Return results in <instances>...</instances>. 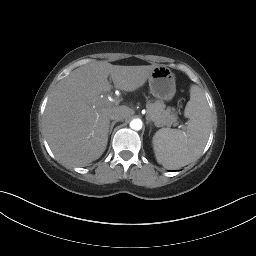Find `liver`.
Here are the masks:
<instances>
[{
    "mask_svg": "<svg viewBox=\"0 0 256 256\" xmlns=\"http://www.w3.org/2000/svg\"><path fill=\"white\" fill-rule=\"evenodd\" d=\"M157 64L112 65L107 61L86 64L59 81L51 93L45 113L44 131L57 160L65 165L85 166L100 158L106 149L110 114L119 111L128 118L133 111L114 106L103 93L114 87L133 92L142 87Z\"/></svg>",
    "mask_w": 256,
    "mask_h": 256,
    "instance_id": "1",
    "label": "liver"
}]
</instances>
